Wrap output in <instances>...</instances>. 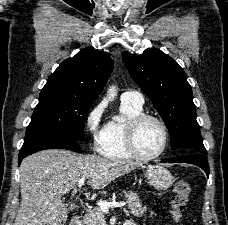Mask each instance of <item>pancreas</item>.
Listing matches in <instances>:
<instances>
[{"label":"pancreas","mask_w":228,"mask_h":225,"mask_svg":"<svg viewBox=\"0 0 228 225\" xmlns=\"http://www.w3.org/2000/svg\"><path fill=\"white\" fill-rule=\"evenodd\" d=\"M126 199V203L135 217H142L146 211L147 207H142V203L134 191H123ZM83 225H106V219H104V213L101 211L100 207H94L92 211H88L83 219Z\"/></svg>","instance_id":"obj_1"}]
</instances>
